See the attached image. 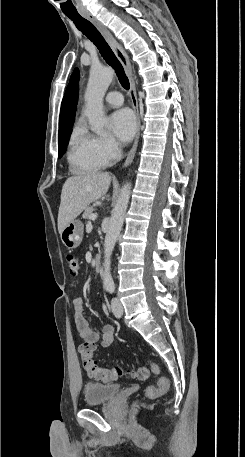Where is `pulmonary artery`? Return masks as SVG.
<instances>
[{
  "instance_id": "obj_1",
  "label": "pulmonary artery",
  "mask_w": 245,
  "mask_h": 457,
  "mask_svg": "<svg viewBox=\"0 0 245 457\" xmlns=\"http://www.w3.org/2000/svg\"><path fill=\"white\" fill-rule=\"evenodd\" d=\"M104 101L114 106H120L123 103V98L119 92H110L104 97Z\"/></svg>"
}]
</instances>
